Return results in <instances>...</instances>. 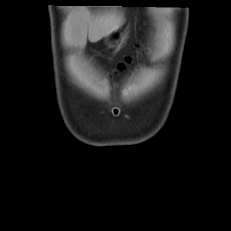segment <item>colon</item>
I'll use <instances>...</instances> for the list:
<instances>
[{
  "instance_id": "1",
  "label": "colon",
  "mask_w": 231,
  "mask_h": 231,
  "mask_svg": "<svg viewBox=\"0 0 231 231\" xmlns=\"http://www.w3.org/2000/svg\"><path fill=\"white\" fill-rule=\"evenodd\" d=\"M129 59H127L123 64H121L120 66H119V69L120 70H122V69H124L125 68V66L129 63Z\"/></svg>"
}]
</instances>
